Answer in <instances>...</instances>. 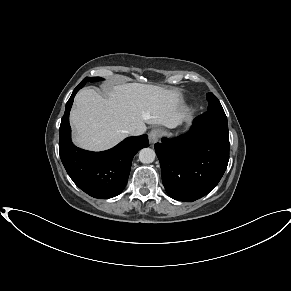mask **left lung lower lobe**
Masks as SVG:
<instances>
[{"label":"left lung lower lobe","mask_w":291,"mask_h":291,"mask_svg":"<svg viewBox=\"0 0 291 291\" xmlns=\"http://www.w3.org/2000/svg\"><path fill=\"white\" fill-rule=\"evenodd\" d=\"M155 151L162 182L176 200L195 201L220 181L229 161V134L225 112H205L194 119L190 131L162 138Z\"/></svg>","instance_id":"left-lung-lower-lobe-1"}]
</instances>
